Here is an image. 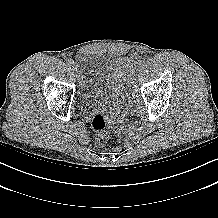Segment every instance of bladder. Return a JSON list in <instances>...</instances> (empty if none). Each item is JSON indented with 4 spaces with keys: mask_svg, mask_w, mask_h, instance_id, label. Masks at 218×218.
I'll list each match as a JSON object with an SVG mask.
<instances>
[{
    "mask_svg": "<svg viewBox=\"0 0 218 218\" xmlns=\"http://www.w3.org/2000/svg\"><path fill=\"white\" fill-rule=\"evenodd\" d=\"M82 105H108L125 89L134 73L135 59L81 52L76 62Z\"/></svg>",
    "mask_w": 218,
    "mask_h": 218,
    "instance_id": "31cf9c89",
    "label": "bladder"
}]
</instances>
